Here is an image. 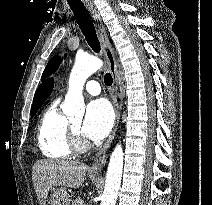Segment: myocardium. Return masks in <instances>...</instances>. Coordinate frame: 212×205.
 I'll return each mask as SVG.
<instances>
[{
    "label": "myocardium",
    "mask_w": 212,
    "mask_h": 205,
    "mask_svg": "<svg viewBox=\"0 0 212 205\" xmlns=\"http://www.w3.org/2000/svg\"><path fill=\"white\" fill-rule=\"evenodd\" d=\"M69 143L74 152L80 153L88 149L87 142L80 136L79 130H77L72 123L69 125Z\"/></svg>",
    "instance_id": "obj_1"
}]
</instances>
